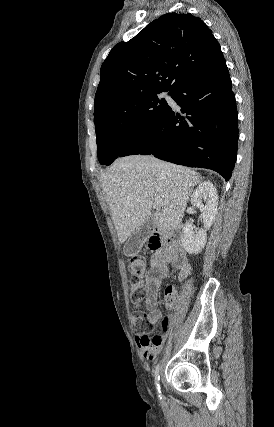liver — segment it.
<instances>
[{
    "instance_id": "liver-1",
    "label": "liver",
    "mask_w": 274,
    "mask_h": 427,
    "mask_svg": "<svg viewBox=\"0 0 274 427\" xmlns=\"http://www.w3.org/2000/svg\"><path fill=\"white\" fill-rule=\"evenodd\" d=\"M201 180L194 170L153 156L118 158L103 172L101 182L120 243L149 217L159 229H176ZM155 202H161L162 210L151 215Z\"/></svg>"
}]
</instances>
